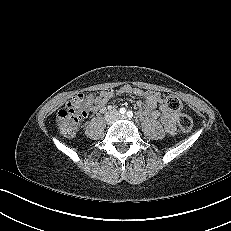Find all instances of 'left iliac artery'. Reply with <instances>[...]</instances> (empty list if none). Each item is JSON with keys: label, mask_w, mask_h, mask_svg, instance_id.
<instances>
[{"label": "left iliac artery", "mask_w": 231, "mask_h": 231, "mask_svg": "<svg viewBox=\"0 0 231 231\" xmlns=\"http://www.w3.org/2000/svg\"><path fill=\"white\" fill-rule=\"evenodd\" d=\"M132 115H133V113H132L131 111H128V112H127V116H128V117H131Z\"/></svg>", "instance_id": "1"}]
</instances>
